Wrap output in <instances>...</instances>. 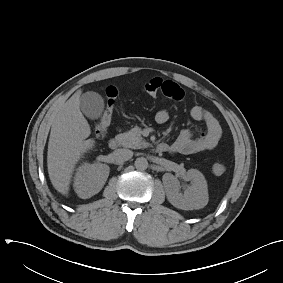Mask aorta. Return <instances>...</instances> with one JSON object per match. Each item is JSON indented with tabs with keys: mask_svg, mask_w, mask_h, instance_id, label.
<instances>
[{
	"mask_svg": "<svg viewBox=\"0 0 283 283\" xmlns=\"http://www.w3.org/2000/svg\"><path fill=\"white\" fill-rule=\"evenodd\" d=\"M135 167L137 170L143 171L148 167V161L144 157H139L135 160Z\"/></svg>",
	"mask_w": 283,
	"mask_h": 283,
	"instance_id": "762f6f07",
	"label": "aorta"
}]
</instances>
